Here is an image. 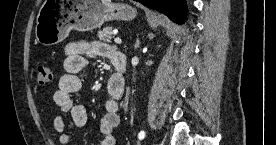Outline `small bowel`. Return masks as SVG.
Returning a JSON list of instances; mask_svg holds the SVG:
<instances>
[{
    "mask_svg": "<svg viewBox=\"0 0 276 145\" xmlns=\"http://www.w3.org/2000/svg\"><path fill=\"white\" fill-rule=\"evenodd\" d=\"M115 50L101 41H74L66 45L64 49L65 60L63 63L64 75L59 80L58 90L54 94V102L62 113H69L73 123L77 127L86 125L88 116L84 105L75 103L72 95L82 87L81 72L84 70L87 59L93 56H101L111 59ZM107 84L109 97L105 101V111L100 131L102 139L100 145H115L114 129L119 125L120 99L123 92L111 89ZM54 129L59 134V143L70 144V135L65 132V119L58 114L53 120Z\"/></svg>",
    "mask_w": 276,
    "mask_h": 145,
    "instance_id": "obj_1",
    "label": "small bowel"
}]
</instances>
